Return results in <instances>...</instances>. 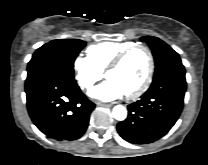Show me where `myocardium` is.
I'll return each instance as SVG.
<instances>
[{
    "label": "myocardium",
    "instance_id": "myocardium-1",
    "mask_svg": "<svg viewBox=\"0 0 208 165\" xmlns=\"http://www.w3.org/2000/svg\"><path fill=\"white\" fill-rule=\"evenodd\" d=\"M137 49H142L147 53L148 70H147V74L143 82L136 89L125 94V97L127 99H134L142 95L149 88L152 82V78H153L154 70H155V61H154V56H153L151 49L147 45H144V44H133L123 49L121 52H119L105 69V76L107 77V74L111 70H114L117 67H119L123 63V61L127 58V56Z\"/></svg>",
    "mask_w": 208,
    "mask_h": 165
}]
</instances>
